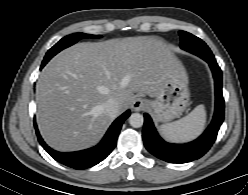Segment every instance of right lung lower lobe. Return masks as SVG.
Masks as SVG:
<instances>
[{"label": "right lung lower lobe", "mask_w": 248, "mask_h": 195, "mask_svg": "<svg viewBox=\"0 0 248 195\" xmlns=\"http://www.w3.org/2000/svg\"><path fill=\"white\" fill-rule=\"evenodd\" d=\"M45 64L42 63L41 68H43ZM129 116L130 110H127L120 117H118L112 123V125L110 126L105 136L98 145L86 150L76 152L63 153L51 149L43 141L42 137L39 134L36 124L35 128L40 144L57 162L68 167H72L74 169H86L98 164L112 152L116 145L122 124Z\"/></svg>", "instance_id": "98d812e1"}]
</instances>
